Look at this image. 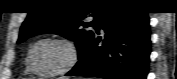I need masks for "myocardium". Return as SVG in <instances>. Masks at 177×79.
Instances as JSON below:
<instances>
[{
	"instance_id": "obj_1",
	"label": "myocardium",
	"mask_w": 177,
	"mask_h": 79,
	"mask_svg": "<svg viewBox=\"0 0 177 79\" xmlns=\"http://www.w3.org/2000/svg\"><path fill=\"white\" fill-rule=\"evenodd\" d=\"M48 41L61 43L65 45L66 48L68 49L67 61L62 67L54 71H43L41 69H38L34 64L33 57H32L35 48L41 43L48 42ZM78 60H79V49L76 43L73 40L67 37H62V36H47V37L39 39L31 46L27 54V62H28L30 69L34 73H37L39 75H46V76H54V75L66 73L67 71L72 69L77 64Z\"/></svg>"
}]
</instances>
